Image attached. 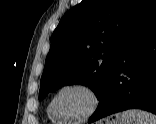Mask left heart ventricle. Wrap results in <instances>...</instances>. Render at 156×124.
I'll return each mask as SVG.
<instances>
[{"mask_svg": "<svg viewBox=\"0 0 156 124\" xmlns=\"http://www.w3.org/2000/svg\"><path fill=\"white\" fill-rule=\"evenodd\" d=\"M91 106V97L80 89L61 93L55 101L54 113L59 119L73 120L83 116Z\"/></svg>", "mask_w": 156, "mask_h": 124, "instance_id": "left-heart-ventricle-1", "label": "left heart ventricle"}]
</instances>
